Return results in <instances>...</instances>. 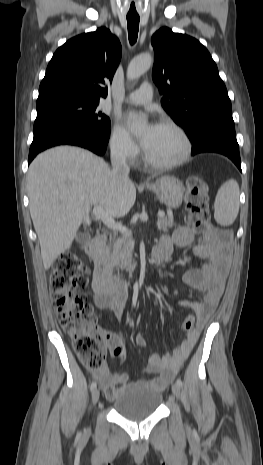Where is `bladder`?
<instances>
[{
	"label": "bladder",
	"mask_w": 263,
	"mask_h": 465,
	"mask_svg": "<svg viewBox=\"0 0 263 465\" xmlns=\"http://www.w3.org/2000/svg\"><path fill=\"white\" fill-rule=\"evenodd\" d=\"M162 403V394L147 386H134L112 403V409L121 417L140 421L154 414Z\"/></svg>",
	"instance_id": "1"
}]
</instances>
